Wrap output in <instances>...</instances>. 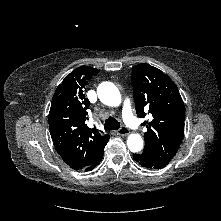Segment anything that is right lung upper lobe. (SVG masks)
I'll return each mask as SVG.
<instances>
[{
  "instance_id": "cb5924a9",
  "label": "right lung upper lobe",
  "mask_w": 221,
  "mask_h": 221,
  "mask_svg": "<svg viewBox=\"0 0 221 221\" xmlns=\"http://www.w3.org/2000/svg\"><path fill=\"white\" fill-rule=\"evenodd\" d=\"M99 70L78 67L57 87L49 112V129L58 154L75 170L86 169L109 141V134L90 129L89 100L84 94L88 80Z\"/></svg>"
}]
</instances>
